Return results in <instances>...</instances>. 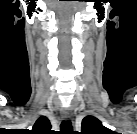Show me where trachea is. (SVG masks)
I'll use <instances>...</instances> for the list:
<instances>
[{
  "instance_id": "3493384b",
  "label": "trachea",
  "mask_w": 137,
  "mask_h": 134,
  "mask_svg": "<svg viewBox=\"0 0 137 134\" xmlns=\"http://www.w3.org/2000/svg\"><path fill=\"white\" fill-rule=\"evenodd\" d=\"M61 131L62 132H71L72 131V124L70 121H62L61 122Z\"/></svg>"
}]
</instances>
